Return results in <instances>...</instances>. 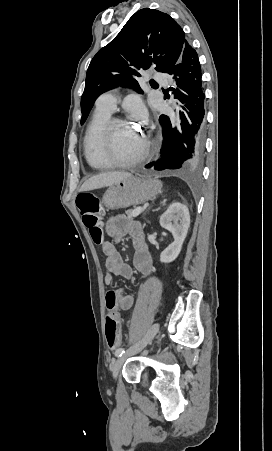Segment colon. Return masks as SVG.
Instances as JSON below:
<instances>
[{
  "label": "colon",
  "instance_id": "colon-1",
  "mask_svg": "<svg viewBox=\"0 0 272 451\" xmlns=\"http://www.w3.org/2000/svg\"><path fill=\"white\" fill-rule=\"evenodd\" d=\"M76 205L80 210L83 223L85 226L91 228L90 233L92 239L99 243L103 234L99 227V221L102 217V201L100 198L91 193L80 194L76 197ZM105 337L109 349L119 347L121 344L119 336V324L115 317L107 315L104 323Z\"/></svg>",
  "mask_w": 272,
  "mask_h": 451
}]
</instances>
